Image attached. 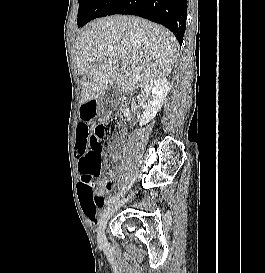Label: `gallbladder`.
<instances>
[{"label":"gallbladder","instance_id":"gallbladder-1","mask_svg":"<svg viewBox=\"0 0 265 273\" xmlns=\"http://www.w3.org/2000/svg\"><path fill=\"white\" fill-rule=\"evenodd\" d=\"M120 100V92L116 84L110 86L107 91L102 95L100 104L101 108L108 110H113L117 107Z\"/></svg>","mask_w":265,"mask_h":273}]
</instances>
